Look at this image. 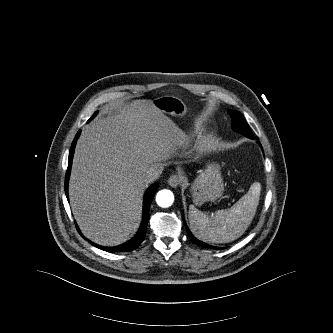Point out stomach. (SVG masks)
I'll use <instances>...</instances> for the list:
<instances>
[{"label": "stomach", "instance_id": "stomach-1", "mask_svg": "<svg viewBox=\"0 0 333 333\" xmlns=\"http://www.w3.org/2000/svg\"><path fill=\"white\" fill-rule=\"evenodd\" d=\"M152 102L162 112L176 117L184 116L187 110L185 103L175 96L158 97ZM191 189L195 205H202L206 201L220 198L224 191L220 165L214 162L209 163L194 180Z\"/></svg>", "mask_w": 333, "mask_h": 333}]
</instances>
